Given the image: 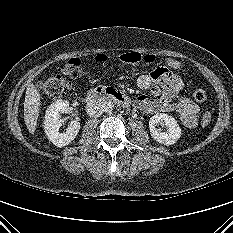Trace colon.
Here are the masks:
<instances>
[{
  "label": "colon",
  "mask_w": 233,
  "mask_h": 233,
  "mask_svg": "<svg viewBox=\"0 0 233 233\" xmlns=\"http://www.w3.org/2000/svg\"><path fill=\"white\" fill-rule=\"evenodd\" d=\"M98 62H104L106 57L104 55H98L96 57ZM119 60L124 64L137 65V64H152L155 61V56L151 54L142 55L139 52H127L120 55ZM167 65L181 69L182 64L176 60L169 59ZM62 72L64 75L70 78H78L82 73L81 61L78 58L69 59L64 65ZM37 87L49 98L56 99L66 94L71 89V82L60 76H51L40 80L37 83ZM193 99L196 102H202L206 99V92L202 88H197L193 93ZM212 120V114L207 111L203 114L201 124L207 126Z\"/></svg>",
  "instance_id": "colon-1"
}]
</instances>
